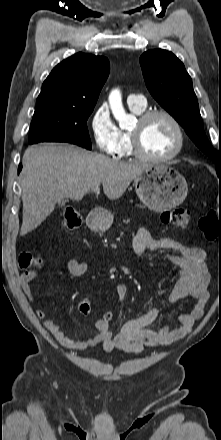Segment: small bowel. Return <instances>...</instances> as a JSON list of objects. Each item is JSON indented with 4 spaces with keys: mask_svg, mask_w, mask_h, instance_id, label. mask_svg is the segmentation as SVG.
<instances>
[{
    "mask_svg": "<svg viewBox=\"0 0 221 440\" xmlns=\"http://www.w3.org/2000/svg\"><path fill=\"white\" fill-rule=\"evenodd\" d=\"M132 249L137 256H141L145 249L152 252H166L165 258L171 261L177 276V282L169 296V305L192 298L195 300L193 309L189 313L180 315L181 325L178 328H171L168 323H164L159 330L155 331L149 326L157 321L165 310L164 307H155L126 321L115 335L110 330L111 321H103L101 317L95 323L97 333L87 338L66 335L57 323L46 317L42 309H37L36 316L43 321L45 328L61 346L70 350H84L101 345L108 352L118 349L136 353L144 347L164 346L183 338L202 318L208 301L207 283L209 281L206 254L202 249L171 238L155 239L145 228L137 231L132 240ZM66 267L74 277L82 276L88 270L86 262L75 259H68ZM35 276L34 271L25 272L21 276L22 289L30 300H33L30 283ZM116 294L118 299L123 301L128 295V287L125 284H118Z\"/></svg>",
    "mask_w": 221,
    "mask_h": 440,
    "instance_id": "obj_1",
    "label": "small bowel"
}]
</instances>
